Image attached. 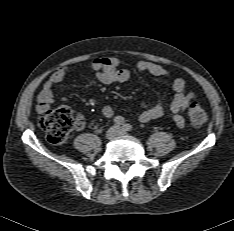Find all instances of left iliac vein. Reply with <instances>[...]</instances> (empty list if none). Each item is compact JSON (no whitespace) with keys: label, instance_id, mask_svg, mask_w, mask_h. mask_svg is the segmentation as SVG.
<instances>
[{"label":"left iliac vein","instance_id":"1","mask_svg":"<svg viewBox=\"0 0 234 231\" xmlns=\"http://www.w3.org/2000/svg\"><path fill=\"white\" fill-rule=\"evenodd\" d=\"M125 134H126V132L123 129H121L119 132V135H125Z\"/></svg>","mask_w":234,"mask_h":231}]
</instances>
